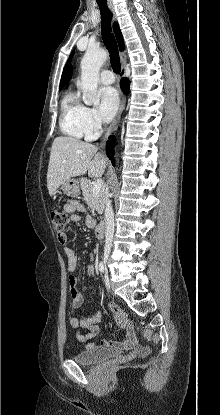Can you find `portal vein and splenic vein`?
<instances>
[{"instance_id": "1", "label": "portal vein and splenic vein", "mask_w": 220, "mask_h": 415, "mask_svg": "<svg viewBox=\"0 0 220 415\" xmlns=\"http://www.w3.org/2000/svg\"><path fill=\"white\" fill-rule=\"evenodd\" d=\"M103 187L102 180L98 179L94 182L92 193L93 195H97Z\"/></svg>"}]
</instances>
